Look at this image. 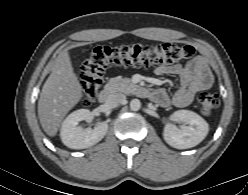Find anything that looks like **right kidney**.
<instances>
[{
  "label": "right kidney",
  "mask_w": 248,
  "mask_h": 195,
  "mask_svg": "<svg viewBox=\"0 0 248 195\" xmlns=\"http://www.w3.org/2000/svg\"><path fill=\"white\" fill-rule=\"evenodd\" d=\"M92 113L88 109H79L69 114L63 121L60 136L61 140L71 149L89 148L101 141L108 131V124L101 123L94 129H83L78 126L79 122H91Z\"/></svg>",
  "instance_id": "ca27d5eb"
}]
</instances>
